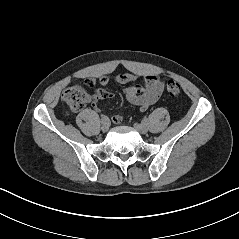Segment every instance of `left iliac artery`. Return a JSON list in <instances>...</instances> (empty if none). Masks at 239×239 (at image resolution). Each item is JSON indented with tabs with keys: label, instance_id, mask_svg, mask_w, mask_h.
Instances as JSON below:
<instances>
[{
	"label": "left iliac artery",
	"instance_id": "44dca946",
	"mask_svg": "<svg viewBox=\"0 0 239 239\" xmlns=\"http://www.w3.org/2000/svg\"><path fill=\"white\" fill-rule=\"evenodd\" d=\"M142 122H143V124H148V119L145 118V119H143Z\"/></svg>",
	"mask_w": 239,
	"mask_h": 239
}]
</instances>
